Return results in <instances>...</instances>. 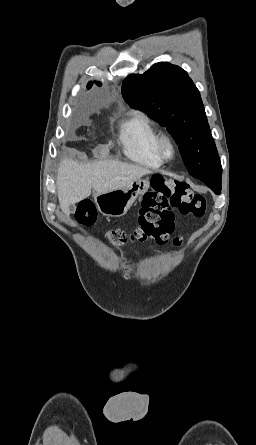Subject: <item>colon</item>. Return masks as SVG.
Wrapping results in <instances>:
<instances>
[{
	"mask_svg": "<svg viewBox=\"0 0 256 445\" xmlns=\"http://www.w3.org/2000/svg\"><path fill=\"white\" fill-rule=\"evenodd\" d=\"M152 188L141 200L138 225L132 231L112 229L109 240L118 245L130 242H151L165 244L173 231L174 210L183 215L201 218L206 209L205 198L189 190L181 181H169L154 177ZM77 219L84 226H92L96 221L93 203L84 200L77 210Z\"/></svg>",
	"mask_w": 256,
	"mask_h": 445,
	"instance_id": "obj_1",
	"label": "colon"
}]
</instances>
